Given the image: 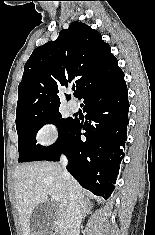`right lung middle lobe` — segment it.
Wrapping results in <instances>:
<instances>
[{"mask_svg":"<svg viewBox=\"0 0 155 235\" xmlns=\"http://www.w3.org/2000/svg\"><path fill=\"white\" fill-rule=\"evenodd\" d=\"M55 124L59 130L57 141L49 146L36 145V133L45 124ZM74 119L62 118L59 108L25 112L16 117L18 133V162L40 161L54 154L65 142Z\"/></svg>","mask_w":155,"mask_h":235,"instance_id":"obj_1","label":"right lung middle lobe"}]
</instances>
